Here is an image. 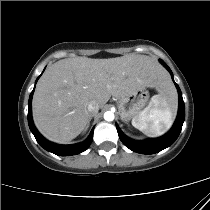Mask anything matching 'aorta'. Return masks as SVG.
<instances>
[{
	"mask_svg": "<svg viewBox=\"0 0 210 210\" xmlns=\"http://www.w3.org/2000/svg\"><path fill=\"white\" fill-rule=\"evenodd\" d=\"M104 119L106 121H113L114 120V113L111 111H107L104 113Z\"/></svg>",
	"mask_w": 210,
	"mask_h": 210,
	"instance_id": "obj_1",
	"label": "aorta"
}]
</instances>
